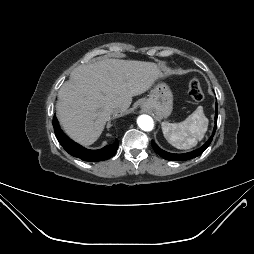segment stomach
<instances>
[{
  "label": "stomach",
  "instance_id": "obj_1",
  "mask_svg": "<svg viewBox=\"0 0 254 254\" xmlns=\"http://www.w3.org/2000/svg\"><path fill=\"white\" fill-rule=\"evenodd\" d=\"M141 108L155 114L158 119L168 117L173 109V94L165 83H158L141 102Z\"/></svg>",
  "mask_w": 254,
  "mask_h": 254
}]
</instances>
